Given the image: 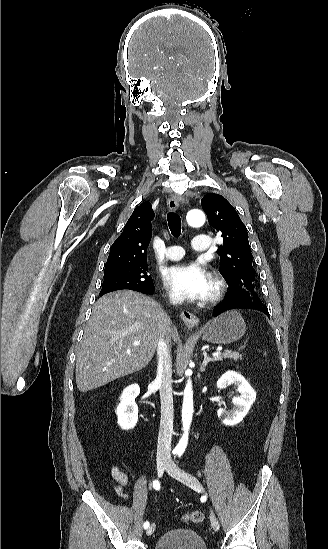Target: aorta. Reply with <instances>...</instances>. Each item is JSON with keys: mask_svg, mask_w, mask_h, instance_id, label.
Instances as JSON below:
<instances>
[{"mask_svg": "<svg viewBox=\"0 0 328 549\" xmlns=\"http://www.w3.org/2000/svg\"><path fill=\"white\" fill-rule=\"evenodd\" d=\"M186 220L191 227H200L205 223V215L201 210L193 209L187 213ZM191 374V370L186 371L187 376L190 377ZM183 395L182 424L184 433L176 446V450L180 452H184L187 447L188 434L193 415V390L190 378L187 381Z\"/></svg>", "mask_w": 328, "mask_h": 549, "instance_id": "762f6f07", "label": "aorta"}]
</instances>
